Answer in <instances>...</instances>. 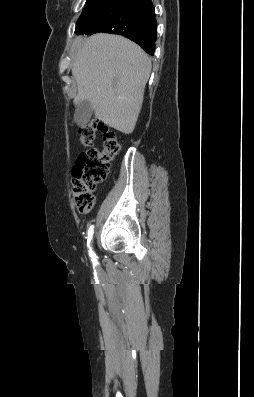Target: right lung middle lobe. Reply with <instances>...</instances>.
<instances>
[{
	"instance_id": "right-lung-middle-lobe-1",
	"label": "right lung middle lobe",
	"mask_w": 254,
	"mask_h": 397,
	"mask_svg": "<svg viewBox=\"0 0 254 397\" xmlns=\"http://www.w3.org/2000/svg\"><path fill=\"white\" fill-rule=\"evenodd\" d=\"M106 0H87L84 10L76 23V30L93 17Z\"/></svg>"
}]
</instances>
